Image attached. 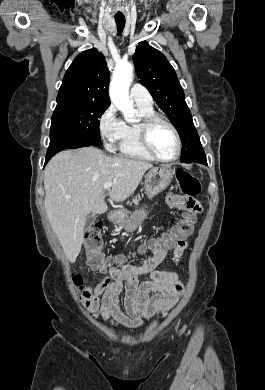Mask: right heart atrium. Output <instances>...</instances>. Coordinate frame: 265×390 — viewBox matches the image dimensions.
<instances>
[{
  "instance_id": "obj_1",
  "label": "right heart atrium",
  "mask_w": 265,
  "mask_h": 390,
  "mask_svg": "<svg viewBox=\"0 0 265 390\" xmlns=\"http://www.w3.org/2000/svg\"><path fill=\"white\" fill-rule=\"evenodd\" d=\"M123 126L124 122L118 116L115 106L113 104L109 105L98 120L99 134L107 149L115 148L121 137Z\"/></svg>"
}]
</instances>
